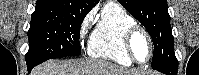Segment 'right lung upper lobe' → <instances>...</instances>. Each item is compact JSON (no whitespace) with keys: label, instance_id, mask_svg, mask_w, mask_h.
I'll return each mask as SVG.
<instances>
[{"label":"right lung upper lobe","instance_id":"cb5924a9","mask_svg":"<svg viewBox=\"0 0 199 75\" xmlns=\"http://www.w3.org/2000/svg\"><path fill=\"white\" fill-rule=\"evenodd\" d=\"M99 0H37L36 9L59 8L87 14Z\"/></svg>","mask_w":199,"mask_h":75}]
</instances>
